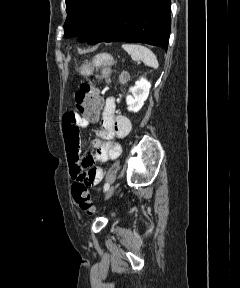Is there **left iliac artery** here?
<instances>
[{"instance_id": "obj_1", "label": "left iliac artery", "mask_w": 240, "mask_h": 288, "mask_svg": "<svg viewBox=\"0 0 240 288\" xmlns=\"http://www.w3.org/2000/svg\"><path fill=\"white\" fill-rule=\"evenodd\" d=\"M109 187H110L109 183H106L104 185V192L108 191Z\"/></svg>"}]
</instances>
